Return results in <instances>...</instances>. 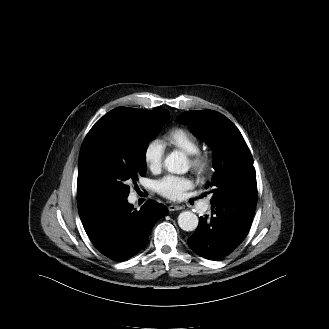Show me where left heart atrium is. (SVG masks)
<instances>
[{
    "label": "left heart atrium",
    "mask_w": 329,
    "mask_h": 329,
    "mask_svg": "<svg viewBox=\"0 0 329 329\" xmlns=\"http://www.w3.org/2000/svg\"><path fill=\"white\" fill-rule=\"evenodd\" d=\"M193 187V181L186 176L166 175L156 182V190L170 200H181L185 192Z\"/></svg>",
    "instance_id": "1"
}]
</instances>
